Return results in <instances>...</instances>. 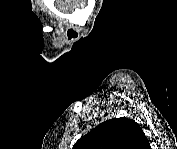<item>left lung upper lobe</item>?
<instances>
[{
	"mask_svg": "<svg viewBox=\"0 0 177 149\" xmlns=\"http://www.w3.org/2000/svg\"><path fill=\"white\" fill-rule=\"evenodd\" d=\"M148 139L132 119L107 120L81 137L73 149H147Z\"/></svg>",
	"mask_w": 177,
	"mask_h": 149,
	"instance_id": "5c2ea615",
	"label": "left lung upper lobe"
}]
</instances>
